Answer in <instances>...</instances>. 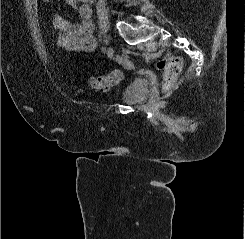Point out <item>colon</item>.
Masks as SVG:
<instances>
[{
  "label": "colon",
  "instance_id": "1",
  "mask_svg": "<svg viewBox=\"0 0 245 239\" xmlns=\"http://www.w3.org/2000/svg\"><path fill=\"white\" fill-rule=\"evenodd\" d=\"M49 3L52 0H42ZM156 66L163 73V86L165 90H169L175 84L182 70V59L179 56L168 54L160 58ZM123 79V73L115 70L107 75L90 77L88 83L91 88L99 91H108L117 85Z\"/></svg>",
  "mask_w": 245,
  "mask_h": 239
}]
</instances>
